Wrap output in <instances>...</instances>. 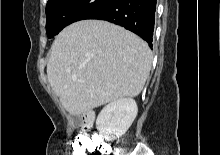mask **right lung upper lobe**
Listing matches in <instances>:
<instances>
[{
  "label": "right lung upper lobe",
  "mask_w": 220,
  "mask_h": 155,
  "mask_svg": "<svg viewBox=\"0 0 220 155\" xmlns=\"http://www.w3.org/2000/svg\"><path fill=\"white\" fill-rule=\"evenodd\" d=\"M52 0H48V2L47 3H49V2H51Z\"/></svg>",
  "instance_id": "cb5924a9"
}]
</instances>
